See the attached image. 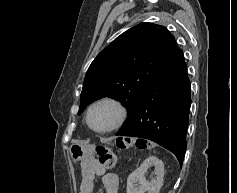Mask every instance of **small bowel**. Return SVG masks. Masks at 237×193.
Instances as JSON below:
<instances>
[{
	"label": "small bowel",
	"instance_id": "small-bowel-1",
	"mask_svg": "<svg viewBox=\"0 0 237 193\" xmlns=\"http://www.w3.org/2000/svg\"><path fill=\"white\" fill-rule=\"evenodd\" d=\"M96 176L102 177L106 193H118V176L100 168L94 159L86 160L83 165L79 193H94Z\"/></svg>",
	"mask_w": 237,
	"mask_h": 193
}]
</instances>
